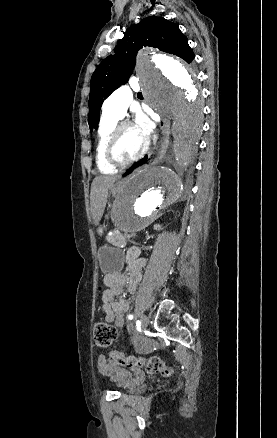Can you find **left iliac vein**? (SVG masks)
Here are the masks:
<instances>
[{"label":"left iliac vein","mask_w":277,"mask_h":438,"mask_svg":"<svg viewBox=\"0 0 277 438\" xmlns=\"http://www.w3.org/2000/svg\"><path fill=\"white\" fill-rule=\"evenodd\" d=\"M148 325H149V318L148 316L143 315L141 317V328L145 330L148 327Z\"/></svg>","instance_id":"1"}]
</instances>
